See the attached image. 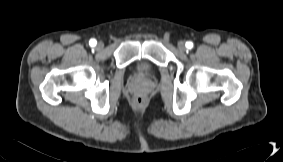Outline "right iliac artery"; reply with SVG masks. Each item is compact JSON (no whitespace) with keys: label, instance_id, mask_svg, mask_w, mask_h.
Instances as JSON below:
<instances>
[{"label":"right iliac artery","instance_id":"82829eb1","mask_svg":"<svg viewBox=\"0 0 283 162\" xmlns=\"http://www.w3.org/2000/svg\"><path fill=\"white\" fill-rule=\"evenodd\" d=\"M89 44H90V46H95L96 44H97V42H96V40L95 39H91L90 41H89Z\"/></svg>","mask_w":283,"mask_h":162}]
</instances>
